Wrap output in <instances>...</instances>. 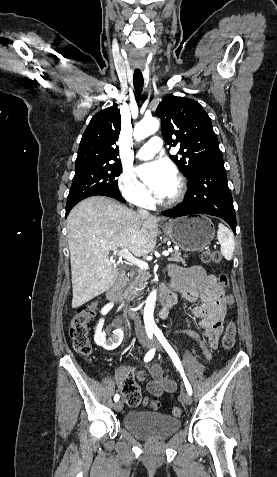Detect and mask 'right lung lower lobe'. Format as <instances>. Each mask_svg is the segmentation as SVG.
<instances>
[{
	"label": "right lung lower lobe",
	"mask_w": 277,
	"mask_h": 477,
	"mask_svg": "<svg viewBox=\"0 0 277 477\" xmlns=\"http://www.w3.org/2000/svg\"><path fill=\"white\" fill-rule=\"evenodd\" d=\"M96 195L108 196V197L114 198L116 200H119L120 202H123V203L125 202V200L123 199V197L121 195H112V194H96ZM71 209L66 210V217L69 214Z\"/></svg>",
	"instance_id": "obj_1"
}]
</instances>
